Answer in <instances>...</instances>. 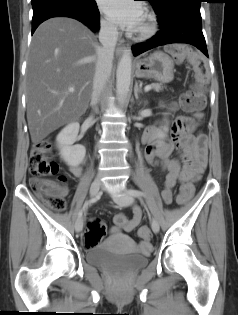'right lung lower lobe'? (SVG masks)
<instances>
[{
	"instance_id": "obj_1",
	"label": "right lung lower lobe",
	"mask_w": 238,
	"mask_h": 315,
	"mask_svg": "<svg viewBox=\"0 0 238 315\" xmlns=\"http://www.w3.org/2000/svg\"><path fill=\"white\" fill-rule=\"evenodd\" d=\"M33 7L32 34L45 20L53 17L77 19L92 31L99 29V10L94 0H31Z\"/></svg>"
}]
</instances>
